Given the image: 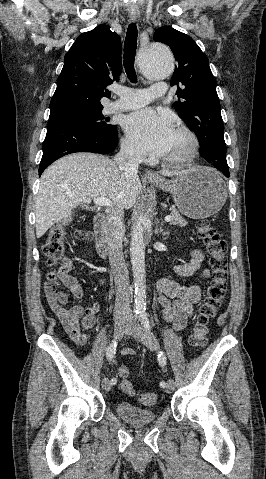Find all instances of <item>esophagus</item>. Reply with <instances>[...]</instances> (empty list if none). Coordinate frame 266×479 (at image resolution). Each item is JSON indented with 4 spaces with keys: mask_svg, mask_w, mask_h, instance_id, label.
Wrapping results in <instances>:
<instances>
[{
    "mask_svg": "<svg viewBox=\"0 0 266 479\" xmlns=\"http://www.w3.org/2000/svg\"><path fill=\"white\" fill-rule=\"evenodd\" d=\"M139 16V11L136 9H130L129 10V18L131 21H135ZM145 175L148 178H160L159 174L153 172L152 170H146Z\"/></svg>",
    "mask_w": 266,
    "mask_h": 479,
    "instance_id": "1",
    "label": "esophagus"
}]
</instances>
